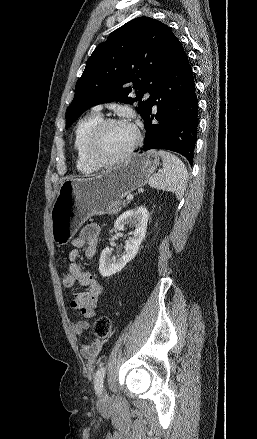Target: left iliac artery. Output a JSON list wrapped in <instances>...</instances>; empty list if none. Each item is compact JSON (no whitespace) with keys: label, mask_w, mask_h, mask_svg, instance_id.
Masks as SVG:
<instances>
[{"label":"left iliac artery","mask_w":257,"mask_h":439,"mask_svg":"<svg viewBox=\"0 0 257 439\" xmlns=\"http://www.w3.org/2000/svg\"><path fill=\"white\" fill-rule=\"evenodd\" d=\"M105 371H106L105 367H100L97 370L96 375L94 377V387L97 393H101Z\"/></svg>","instance_id":"obj_1"}]
</instances>
